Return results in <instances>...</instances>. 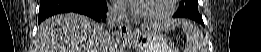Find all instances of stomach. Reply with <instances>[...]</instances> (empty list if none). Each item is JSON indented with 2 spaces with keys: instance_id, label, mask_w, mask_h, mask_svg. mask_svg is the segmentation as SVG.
I'll use <instances>...</instances> for the list:
<instances>
[{
  "instance_id": "1",
  "label": "stomach",
  "mask_w": 261,
  "mask_h": 52,
  "mask_svg": "<svg viewBox=\"0 0 261 52\" xmlns=\"http://www.w3.org/2000/svg\"><path fill=\"white\" fill-rule=\"evenodd\" d=\"M136 52H173L167 39L152 28H145L129 41Z\"/></svg>"
}]
</instances>
